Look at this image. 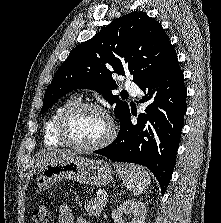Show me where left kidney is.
<instances>
[{
  "label": "left kidney",
  "mask_w": 221,
  "mask_h": 223,
  "mask_svg": "<svg viewBox=\"0 0 221 223\" xmlns=\"http://www.w3.org/2000/svg\"><path fill=\"white\" fill-rule=\"evenodd\" d=\"M126 214L132 217L129 223H145L146 207L142 202L128 200L120 204L113 212L112 218L114 223H124L122 216Z\"/></svg>",
  "instance_id": "left-kidney-1"
}]
</instances>
